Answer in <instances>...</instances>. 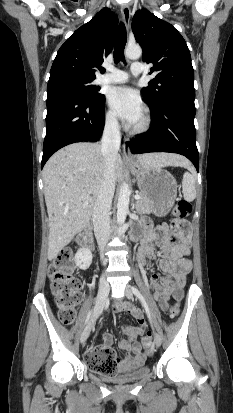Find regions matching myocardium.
Instances as JSON below:
<instances>
[{
    "label": "myocardium",
    "instance_id": "obj_1",
    "mask_svg": "<svg viewBox=\"0 0 233 413\" xmlns=\"http://www.w3.org/2000/svg\"><path fill=\"white\" fill-rule=\"evenodd\" d=\"M150 126H151V117L149 113L146 112L141 117L140 121L131 128V132L136 135L144 134L150 129Z\"/></svg>",
    "mask_w": 233,
    "mask_h": 413
}]
</instances>
